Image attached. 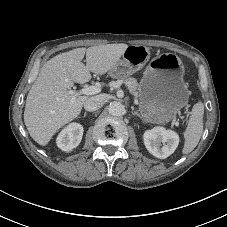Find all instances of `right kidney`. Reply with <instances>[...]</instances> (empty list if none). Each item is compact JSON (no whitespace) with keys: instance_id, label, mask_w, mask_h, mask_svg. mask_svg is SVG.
Returning <instances> with one entry per match:
<instances>
[{"instance_id":"right-kidney-1","label":"right kidney","mask_w":227,"mask_h":227,"mask_svg":"<svg viewBox=\"0 0 227 227\" xmlns=\"http://www.w3.org/2000/svg\"><path fill=\"white\" fill-rule=\"evenodd\" d=\"M83 126L79 123H71L64 128L57 137V146L66 152L76 148L83 136Z\"/></svg>"}]
</instances>
